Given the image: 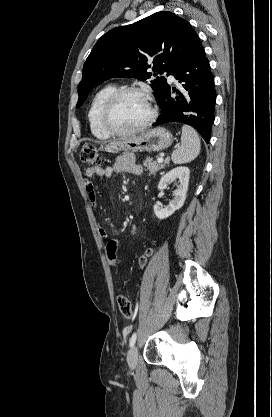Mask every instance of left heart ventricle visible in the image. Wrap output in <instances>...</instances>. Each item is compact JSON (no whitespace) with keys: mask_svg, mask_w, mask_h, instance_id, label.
<instances>
[{"mask_svg":"<svg viewBox=\"0 0 272 417\" xmlns=\"http://www.w3.org/2000/svg\"><path fill=\"white\" fill-rule=\"evenodd\" d=\"M150 115L147 101L140 95L122 97L111 114V125L118 130H130L144 123Z\"/></svg>","mask_w":272,"mask_h":417,"instance_id":"1","label":"left heart ventricle"}]
</instances>
